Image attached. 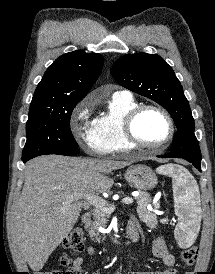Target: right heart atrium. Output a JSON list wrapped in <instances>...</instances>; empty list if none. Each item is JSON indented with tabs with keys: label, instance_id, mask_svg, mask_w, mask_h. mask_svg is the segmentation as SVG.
I'll list each match as a JSON object with an SVG mask.
<instances>
[{
	"label": "right heart atrium",
	"instance_id": "d8ad5b80",
	"mask_svg": "<svg viewBox=\"0 0 215 274\" xmlns=\"http://www.w3.org/2000/svg\"><path fill=\"white\" fill-rule=\"evenodd\" d=\"M90 101H81L74 109L71 120V131L77 142L90 154L105 155L107 148L97 133L95 119L91 118Z\"/></svg>",
	"mask_w": 215,
	"mask_h": 274
}]
</instances>
